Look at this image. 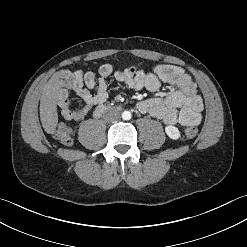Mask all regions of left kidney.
<instances>
[{
	"instance_id": "1",
	"label": "left kidney",
	"mask_w": 247,
	"mask_h": 247,
	"mask_svg": "<svg viewBox=\"0 0 247 247\" xmlns=\"http://www.w3.org/2000/svg\"><path fill=\"white\" fill-rule=\"evenodd\" d=\"M165 132L168 135V137L173 140H177L180 138V131L175 126H172V125L166 126Z\"/></svg>"
}]
</instances>
